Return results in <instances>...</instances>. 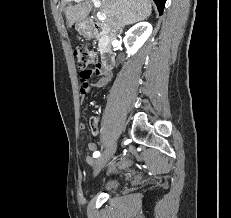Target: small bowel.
<instances>
[{
	"label": "small bowel",
	"mask_w": 231,
	"mask_h": 218,
	"mask_svg": "<svg viewBox=\"0 0 231 218\" xmlns=\"http://www.w3.org/2000/svg\"><path fill=\"white\" fill-rule=\"evenodd\" d=\"M93 74H97L100 76V78L94 84L96 87H103L110 81V74L105 72L99 63H96L95 66H89V69H80L79 75H80V86H81L82 93H85L88 91L90 87L89 79ZM80 128L84 129L85 125L81 123ZM90 131L93 136H96L98 134V127L95 121H92L90 123ZM88 149L91 151L96 150V144L93 142H90L88 144ZM86 161L88 164L93 165V166H95L96 164V161H94L91 156H87ZM131 166H132L131 158L129 156H123L111 162L108 165L107 170L109 172H113L116 169H118L119 171H126L130 169Z\"/></svg>",
	"instance_id": "1"
}]
</instances>
